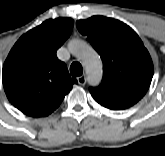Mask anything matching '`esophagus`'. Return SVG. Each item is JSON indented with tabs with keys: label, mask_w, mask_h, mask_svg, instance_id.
<instances>
[{
	"label": "esophagus",
	"mask_w": 165,
	"mask_h": 156,
	"mask_svg": "<svg viewBox=\"0 0 165 156\" xmlns=\"http://www.w3.org/2000/svg\"><path fill=\"white\" fill-rule=\"evenodd\" d=\"M77 81H78V83H79V85H85V83H86V77L84 76V75H82V76H79L78 78H77Z\"/></svg>",
	"instance_id": "esophagus-1"
}]
</instances>
